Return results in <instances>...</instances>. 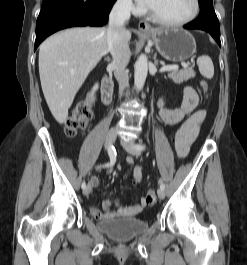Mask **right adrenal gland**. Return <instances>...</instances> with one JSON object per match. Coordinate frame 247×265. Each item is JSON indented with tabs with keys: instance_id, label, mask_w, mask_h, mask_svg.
<instances>
[{
	"instance_id": "1",
	"label": "right adrenal gland",
	"mask_w": 247,
	"mask_h": 265,
	"mask_svg": "<svg viewBox=\"0 0 247 265\" xmlns=\"http://www.w3.org/2000/svg\"><path fill=\"white\" fill-rule=\"evenodd\" d=\"M105 61H107L108 63H110L111 62V58L110 57H105V59H104Z\"/></svg>"
}]
</instances>
